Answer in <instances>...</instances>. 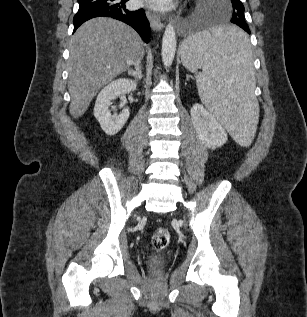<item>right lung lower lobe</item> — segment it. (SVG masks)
<instances>
[{
	"label": "right lung lower lobe",
	"mask_w": 307,
	"mask_h": 317,
	"mask_svg": "<svg viewBox=\"0 0 307 317\" xmlns=\"http://www.w3.org/2000/svg\"><path fill=\"white\" fill-rule=\"evenodd\" d=\"M128 0H78L79 10L73 18L74 31L85 21L107 16L125 22L133 27L142 39L150 41V25L143 9L130 11L126 8Z\"/></svg>",
	"instance_id": "98d812e1"
}]
</instances>
